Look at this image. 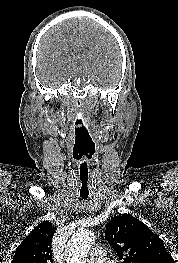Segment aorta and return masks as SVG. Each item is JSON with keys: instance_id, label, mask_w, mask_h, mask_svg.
Masks as SVG:
<instances>
[{"instance_id": "obj_1", "label": "aorta", "mask_w": 178, "mask_h": 263, "mask_svg": "<svg viewBox=\"0 0 178 263\" xmlns=\"http://www.w3.org/2000/svg\"><path fill=\"white\" fill-rule=\"evenodd\" d=\"M95 241L91 231L79 230L73 234L66 246L67 263H86L87 254Z\"/></svg>"}]
</instances>
